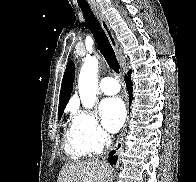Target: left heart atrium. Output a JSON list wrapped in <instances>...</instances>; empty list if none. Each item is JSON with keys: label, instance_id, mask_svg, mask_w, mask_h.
Segmentation results:
<instances>
[{"label": "left heart atrium", "instance_id": "39dd6f15", "mask_svg": "<svg viewBox=\"0 0 196 182\" xmlns=\"http://www.w3.org/2000/svg\"><path fill=\"white\" fill-rule=\"evenodd\" d=\"M100 115L105 128L110 132L118 131L126 118V109L120 98L104 99L99 106Z\"/></svg>", "mask_w": 196, "mask_h": 182}]
</instances>
